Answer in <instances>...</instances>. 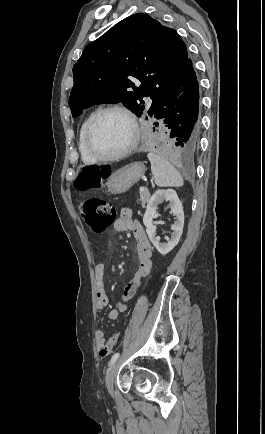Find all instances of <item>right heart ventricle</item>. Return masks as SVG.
Instances as JSON below:
<instances>
[{
    "mask_svg": "<svg viewBox=\"0 0 265 434\" xmlns=\"http://www.w3.org/2000/svg\"><path fill=\"white\" fill-rule=\"evenodd\" d=\"M93 114L94 112H90L86 115V117L84 118L80 126L78 136H77V151H78L79 159L81 163L85 166H93L99 162L89 155L85 147V136L87 134L88 125Z\"/></svg>",
    "mask_w": 265,
    "mask_h": 434,
    "instance_id": "e07e8e85",
    "label": "right heart ventricle"
}]
</instances>
